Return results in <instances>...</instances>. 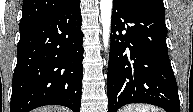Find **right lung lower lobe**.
Masks as SVG:
<instances>
[{
  "label": "right lung lower lobe",
  "mask_w": 193,
  "mask_h": 112,
  "mask_svg": "<svg viewBox=\"0 0 193 112\" xmlns=\"http://www.w3.org/2000/svg\"><path fill=\"white\" fill-rule=\"evenodd\" d=\"M80 0L20 28L11 112L62 105L80 112L83 33Z\"/></svg>",
  "instance_id": "obj_1"
}]
</instances>
